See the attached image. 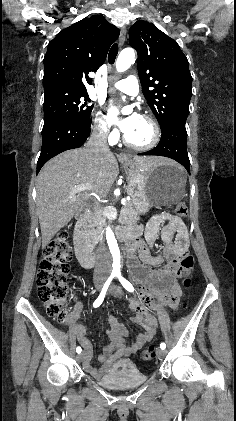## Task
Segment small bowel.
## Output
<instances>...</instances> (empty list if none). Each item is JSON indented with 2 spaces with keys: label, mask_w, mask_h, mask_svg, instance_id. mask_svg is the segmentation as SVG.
Returning <instances> with one entry per match:
<instances>
[{
  "label": "small bowel",
  "mask_w": 236,
  "mask_h": 421,
  "mask_svg": "<svg viewBox=\"0 0 236 421\" xmlns=\"http://www.w3.org/2000/svg\"><path fill=\"white\" fill-rule=\"evenodd\" d=\"M166 220L168 221V223L162 229V237L164 240L168 241V240H171L176 235L177 236L176 246L178 248L179 255L181 256L188 249V231L185 224L179 217L168 214V213H163V214L156 215L155 217H153L147 223L145 228L142 225L133 226V228L137 229L140 232V234L144 231L147 241L149 243H153L159 233L161 224ZM132 305L134 308L140 309L139 304L137 302H133ZM81 309H82L81 303H77L75 306V312L78 313L81 311ZM144 316L147 319V322L149 324V335L147 339L144 341L146 342L152 338L155 332L156 324H155L154 319L150 315L145 313ZM109 322H110L111 329L118 328L121 331H123L125 335L127 334V331L125 330V328L121 324H119L114 317H110ZM71 328L72 329L79 328L83 330V327L81 325H78L75 322L71 324ZM80 342L85 347V350H86L85 355H84V359H85L88 352V348H89L90 355H92L91 347L89 346V343L85 337H84V341H80ZM141 345H138V346H141Z\"/></svg>",
  "instance_id": "obj_1"
}]
</instances>
